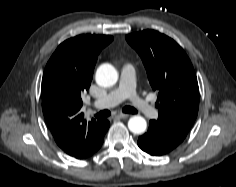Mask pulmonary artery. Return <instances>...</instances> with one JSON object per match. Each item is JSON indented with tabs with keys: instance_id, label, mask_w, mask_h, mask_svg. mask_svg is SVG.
<instances>
[{
	"instance_id": "1",
	"label": "pulmonary artery",
	"mask_w": 236,
	"mask_h": 187,
	"mask_svg": "<svg viewBox=\"0 0 236 187\" xmlns=\"http://www.w3.org/2000/svg\"><path fill=\"white\" fill-rule=\"evenodd\" d=\"M136 71L132 64H125L121 69V79L117 88L109 92L103 98L93 102L96 108H109L129 99L134 108L147 118L157 115L155 107L145 99L141 98L135 90Z\"/></svg>"
}]
</instances>
